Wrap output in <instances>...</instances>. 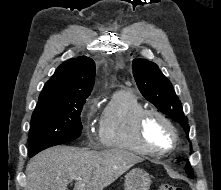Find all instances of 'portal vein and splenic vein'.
<instances>
[{
  "label": "portal vein and splenic vein",
  "mask_w": 221,
  "mask_h": 190,
  "mask_svg": "<svg viewBox=\"0 0 221 190\" xmlns=\"http://www.w3.org/2000/svg\"><path fill=\"white\" fill-rule=\"evenodd\" d=\"M75 180H77V181H81V180H82V178H80V177H79V178H76Z\"/></svg>",
  "instance_id": "18ae733b"
}]
</instances>
